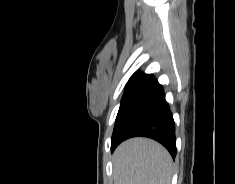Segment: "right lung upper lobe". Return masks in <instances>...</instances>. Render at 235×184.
Returning <instances> with one entry per match:
<instances>
[{
	"instance_id": "1",
	"label": "right lung upper lobe",
	"mask_w": 235,
	"mask_h": 184,
	"mask_svg": "<svg viewBox=\"0 0 235 184\" xmlns=\"http://www.w3.org/2000/svg\"><path fill=\"white\" fill-rule=\"evenodd\" d=\"M146 75L144 73L141 72H136L131 78L130 81L128 82L127 86H126V90L134 87L136 84H138L139 82H141L144 77Z\"/></svg>"
}]
</instances>
